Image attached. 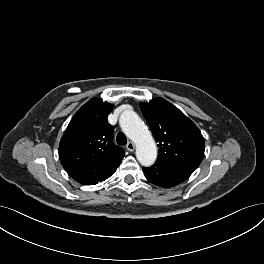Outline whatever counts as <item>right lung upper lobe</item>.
I'll return each mask as SVG.
<instances>
[{"label":"right lung upper lobe","instance_id":"cb5924a9","mask_svg":"<svg viewBox=\"0 0 264 264\" xmlns=\"http://www.w3.org/2000/svg\"><path fill=\"white\" fill-rule=\"evenodd\" d=\"M113 105L93 98L70 121L59 145L66 172L81 184H93L118 167L125 155L113 145V127L107 117Z\"/></svg>","mask_w":264,"mask_h":264}]
</instances>
